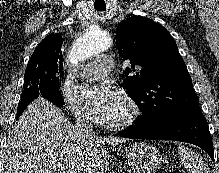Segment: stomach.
I'll use <instances>...</instances> for the list:
<instances>
[{
  "mask_svg": "<svg viewBox=\"0 0 219 173\" xmlns=\"http://www.w3.org/2000/svg\"><path fill=\"white\" fill-rule=\"evenodd\" d=\"M126 158L134 173H155L162 164L160 152L145 142H135L128 146Z\"/></svg>",
  "mask_w": 219,
  "mask_h": 173,
  "instance_id": "stomach-1",
  "label": "stomach"
}]
</instances>
